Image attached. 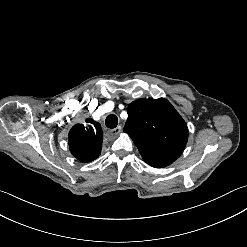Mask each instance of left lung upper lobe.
I'll use <instances>...</instances> for the list:
<instances>
[{
	"mask_svg": "<svg viewBox=\"0 0 247 247\" xmlns=\"http://www.w3.org/2000/svg\"><path fill=\"white\" fill-rule=\"evenodd\" d=\"M127 112L123 130L130 135L147 164L162 168L181 155L188 128L168 100L138 99L129 104Z\"/></svg>",
	"mask_w": 247,
	"mask_h": 247,
	"instance_id": "obj_1",
	"label": "left lung upper lobe"
}]
</instances>
